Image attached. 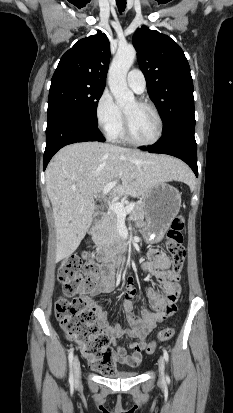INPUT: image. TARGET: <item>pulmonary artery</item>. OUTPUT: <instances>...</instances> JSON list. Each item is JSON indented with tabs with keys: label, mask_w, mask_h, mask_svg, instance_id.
<instances>
[{
	"label": "pulmonary artery",
	"mask_w": 233,
	"mask_h": 413,
	"mask_svg": "<svg viewBox=\"0 0 233 413\" xmlns=\"http://www.w3.org/2000/svg\"><path fill=\"white\" fill-rule=\"evenodd\" d=\"M128 86L136 93L144 92L146 80L144 74L139 69H132L127 75Z\"/></svg>",
	"instance_id": "1"
}]
</instances>
